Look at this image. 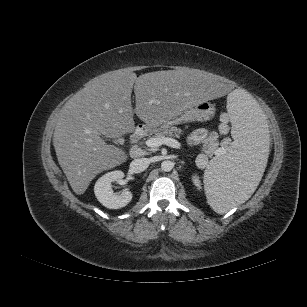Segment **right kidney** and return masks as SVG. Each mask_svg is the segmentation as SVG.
I'll return each instance as SVG.
<instances>
[{
	"mask_svg": "<svg viewBox=\"0 0 307 307\" xmlns=\"http://www.w3.org/2000/svg\"><path fill=\"white\" fill-rule=\"evenodd\" d=\"M124 172L115 170L100 177L94 186V193L98 201L109 209H120L132 200V193L123 191L120 195L113 192L111 183L123 179Z\"/></svg>",
	"mask_w": 307,
	"mask_h": 307,
	"instance_id": "ca27d5eb",
	"label": "right kidney"
}]
</instances>
